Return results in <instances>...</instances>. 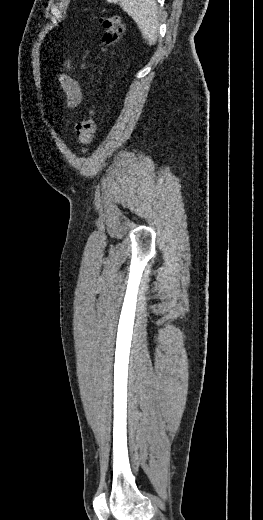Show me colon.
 Here are the masks:
<instances>
[{
    "mask_svg": "<svg viewBox=\"0 0 263 520\" xmlns=\"http://www.w3.org/2000/svg\"><path fill=\"white\" fill-rule=\"evenodd\" d=\"M97 22L104 28L102 51L111 53L113 48L122 40L125 33V24L118 15L99 16ZM93 111L86 110L81 114L80 120L76 124L78 141L85 151L94 139L95 122L92 118Z\"/></svg>",
    "mask_w": 263,
    "mask_h": 520,
    "instance_id": "5ec220e1",
    "label": "colon"
}]
</instances>
